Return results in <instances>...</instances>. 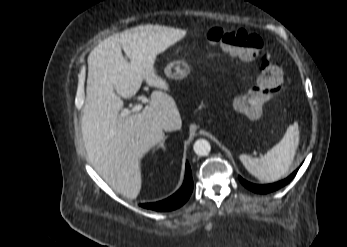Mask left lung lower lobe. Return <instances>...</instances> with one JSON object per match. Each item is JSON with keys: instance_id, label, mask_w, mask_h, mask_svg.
Here are the masks:
<instances>
[{"instance_id": "obj_1", "label": "left lung lower lobe", "mask_w": 347, "mask_h": 247, "mask_svg": "<svg viewBox=\"0 0 347 247\" xmlns=\"http://www.w3.org/2000/svg\"><path fill=\"white\" fill-rule=\"evenodd\" d=\"M296 173H297V170L295 172H293L288 178H286L282 181L273 183V184H268V185H256V184H252V183L245 181L241 177H239V179H240L241 183L245 187H247L248 189H250L256 193L266 194V193L278 190L281 187H283L284 185L288 184L294 178Z\"/></svg>"}]
</instances>
